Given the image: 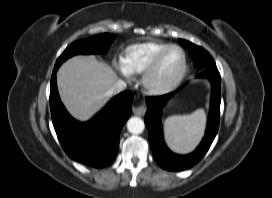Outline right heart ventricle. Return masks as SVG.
Masks as SVG:
<instances>
[{
  "label": "right heart ventricle",
  "mask_w": 272,
  "mask_h": 198,
  "mask_svg": "<svg viewBox=\"0 0 272 198\" xmlns=\"http://www.w3.org/2000/svg\"><path fill=\"white\" fill-rule=\"evenodd\" d=\"M170 44L160 41H145L127 47L121 64L130 74H143L160 51Z\"/></svg>",
  "instance_id": "right-heart-ventricle-1"
}]
</instances>
